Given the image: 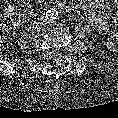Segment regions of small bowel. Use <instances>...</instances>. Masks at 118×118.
Wrapping results in <instances>:
<instances>
[{"instance_id": "small-bowel-1", "label": "small bowel", "mask_w": 118, "mask_h": 118, "mask_svg": "<svg viewBox=\"0 0 118 118\" xmlns=\"http://www.w3.org/2000/svg\"><path fill=\"white\" fill-rule=\"evenodd\" d=\"M112 2L118 6V0H112ZM78 7L93 26L103 31L108 29L109 23L104 17V14L109 7L106 0H87L81 2ZM112 21L114 23L118 22V11L114 13ZM117 44L118 30L111 34L109 39V47L112 48Z\"/></svg>"}]
</instances>
